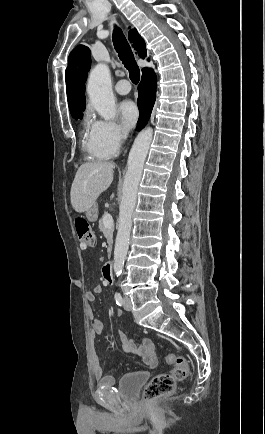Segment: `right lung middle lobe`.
I'll use <instances>...</instances> for the list:
<instances>
[{"label": "right lung middle lobe", "mask_w": 265, "mask_h": 434, "mask_svg": "<svg viewBox=\"0 0 265 434\" xmlns=\"http://www.w3.org/2000/svg\"><path fill=\"white\" fill-rule=\"evenodd\" d=\"M69 109L73 118H82V111L85 109V102H76L69 105Z\"/></svg>", "instance_id": "1"}]
</instances>
